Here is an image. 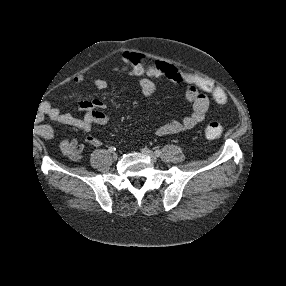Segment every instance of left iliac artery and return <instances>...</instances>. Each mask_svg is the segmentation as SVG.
<instances>
[{
  "label": "left iliac artery",
  "instance_id": "1",
  "mask_svg": "<svg viewBox=\"0 0 286 286\" xmlns=\"http://www.w3.org/2000/svg\"><path fill=\"white\" fill-rule=\"evenodd\" d=\"M161 150H159V149H157L156 151H155V154L157 155V156H160L161 155Z\"/></svg>",
  "mask_w": 286,
  "mask_h": 286
}]
</instances>
